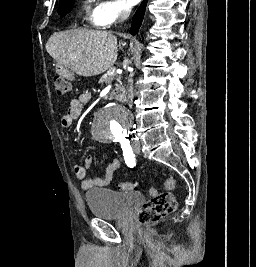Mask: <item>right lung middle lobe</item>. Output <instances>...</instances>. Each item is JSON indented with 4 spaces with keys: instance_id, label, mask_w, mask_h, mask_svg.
I'll use <instances>...</instances> for the list:
<instances>
[{
    "instance_id": "dd1d6c3e",
    "label": "right lung middle lobe",
    "mask_w": 256,
    "mask_h": 267,
    "mask_svg": "<svg viewBox=\"0 0 256 267\" xmlns=\"http://www.w3.org/2000/svg\"><path fill=\"white\" fill-rule=\"evenodd\" d=\"M73 4H74V0L60 1L58 14L60 16H64L66 13H68L72 9Z\"/></svg>"
}]
</instances>
